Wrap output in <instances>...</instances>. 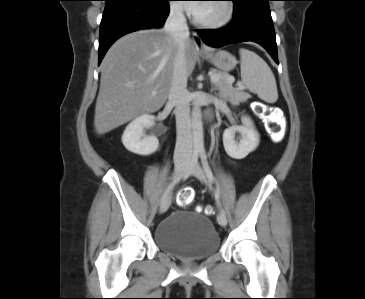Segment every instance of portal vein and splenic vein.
Wrapping results in <instances>:
<instances>
[{
  "mask_svg": "<svg viewBox=\"0 0 365 299\" xmlns=\"http://www.w3.org/2000/svg\"><path fill=\"white\" fill-rule=\"evenodd\" d=\"M210 76H211V82L212 83H217L220 79V77L218 75H213L212 73H210ZM152 94L155 95L156 93L152 92Z\"/></svg>",
  "mask_w": 365,
  "mask_h": 299,
  "instance_id": "obj_1",
  "label": "portal vein and splenic vein"
}]
</instances>
